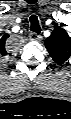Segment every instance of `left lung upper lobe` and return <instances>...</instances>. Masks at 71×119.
I'll use <instances>...</instances> for the list:
<instances>
[{
	"label": "left lung upper lobe",
	"mask_w": 71,
	"mask_h": 119,
	"mask_svg": "<svg viewBox=\"0 0 71 119\" xmlns=\"http://www.w3.org/2000/svg\"><path fill=\"white\" fill-rule=\"evenodd\" d=\"M45 46L57 65L64 64L71 57V37L61 27H55L45 40Z\"/></svg>",
	"instance_id": "obj_1"
}]
</instances>
